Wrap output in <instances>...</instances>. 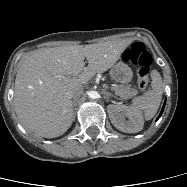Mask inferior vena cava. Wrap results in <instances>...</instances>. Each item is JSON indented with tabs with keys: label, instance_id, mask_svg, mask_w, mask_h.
I'll list each match as a JSON object with an SVG mask.
<instances>
[{
	"label": "inferior vena cava",
	"instance_id": "602c4592",
	"mask_svg": "<svg viewBox=\"0 0 187 187\" xmlns=\"http://www.w3.org/2000/svg\"><path fill=\"white\" fill-rule=\"evenodd\" d=\"M83 91H84V87L82 85H78L72 89L70 95L72 98H77L83 94Z\"/></svg>",
	"mask_w": 187,
	"mask_h": 187
}]
</instances>
